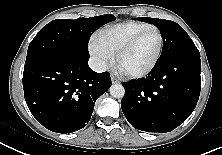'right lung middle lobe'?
<instances>
[{"mask_svg":"<svg viewBox=\"0 0 222 155\" xmlns=\"http://www.w3.org/2000/svg\"><path fill=\"white\" fill-rule=\"evenodd\" d=\"M114 19L113 15L105 14L91 18L51 21L31 41L25 66L58 55L89 58L88 41L91 33Z\"/></svg>","mask_w":222,"mask_h":155,"instance_id":"dd1d6c3e","label":"right lung middle lobe"}]
</instances>
